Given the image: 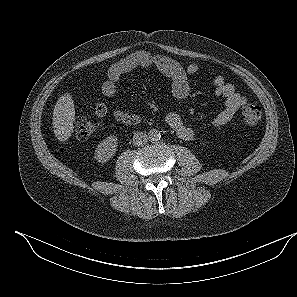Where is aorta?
<instances>
[{
  "instance_id": "1",
  "label": "aorta",
  "mask_w": 297,
  "mask_h": 297,
  "mask_svg": "<svg viewBox=\"0 0 297 297\" xmlns=\"http://www.w3.org/2000/svg\"><path fill=\"white\" fill-rule=\"evenodd\" d=\"M161 138V133L159 130L157 129H151L149 132H148V139L151 141V142H157L159 141Z\"/></svg>"
}]
</instances>
